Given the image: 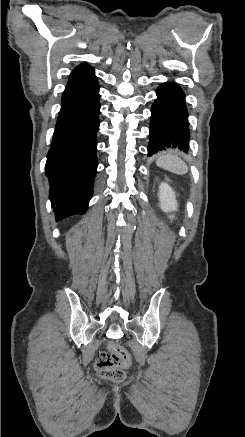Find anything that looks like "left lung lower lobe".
I'll return each mask as SVG.
<instances>
[{
  "label": "left lung lower lobe",
  "mask_w": 245,
  "mask_h": 437,
  "mask_svg": "<svg viewBox=\"0 0 245 437\" xmlns=\"http://www.w3.org/2000/svg\"><path fill=\"white\" fill-rule=\"evenodd\" d=\"M158 98L152 105L148 152L189 149L188 113L185 94L175 83L165 82L156 90Z\"/></svg>",
  "instance_id": "0a47b994"
}]
</instances>
